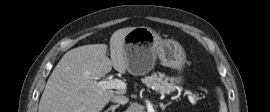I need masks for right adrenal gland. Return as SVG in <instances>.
I'll return each mask as SVG.
<instances>
[{
    "instance_id": "2a0ac1e0",
    "label": "right adrenal gland",
    "mask_w": 270,
    "mask_h": 112,
    "mask_svg": "<svg viewBox=\"0 0 270 112\" xmlns=\"http://www.w3.org/2000/svg\"><path fill=\"white\" fill-rule=\"evenodd\" d=\"M120 104L110 106V108L106 109L104 112H115V109L118 108Z\"/></svg>"
}]
</instances>
